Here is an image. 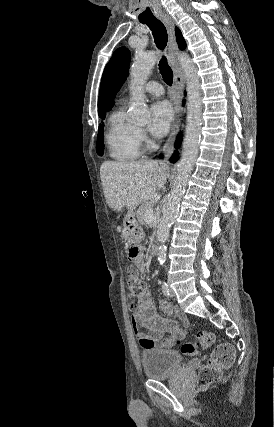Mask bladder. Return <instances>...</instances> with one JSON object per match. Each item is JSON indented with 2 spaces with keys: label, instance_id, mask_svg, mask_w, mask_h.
<instances>
[{
  "label": "bladder",
  "instance_id": "bladder-1",
  "mask_svg": "<svg viewBox=\"0 0 274 427\" xmlns=\"http://www.w3.org/2000/svg\"><path fill=\"white\" fill-rule=\"evenodd\" d=\"M140 362L150 380L170 378L181 368V356L173 349H145L140 354Z\"/></svg>",
  "mask_w": 274,
  "mask_h": 427
}]
</instances>
